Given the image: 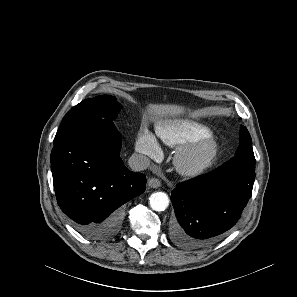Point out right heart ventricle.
<instances>
[{"label": "right heart ventricle", "mask_w": 297, "mask_h": 297, "mask_svg": "<svg viewBox=\"0 0 297 297\" xmlns=\"http://www.w3.org/2000/svg\"><path fill=\"white\" fill-rule=\"evenodd\" d=\"M156 129L159 138L170 147H180L211 134L207 126L191 119L164 121Z\"/></svg>", "instance_id": "e07e8e85"}]
</instances>
